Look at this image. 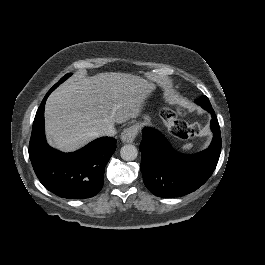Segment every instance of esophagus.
I'll use <instances>...</instances> for the list:
<instances>
[{"mask_svg": "<svg viewBox=\"0 0 265 265\" xmlns=\"http://www.w3.org/2000/svg\"><path fill=\"white\" fill-rule=\"evenodd\" d=\"M137 133H138V127L136 125H133L123 131L120 139L123 143H132L136 138Z\"/></svg>", "mask_w": 265, "mask_h": 265, "instance_id": "obj_1", "label": "esophagus"}]
</instances>
